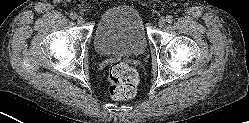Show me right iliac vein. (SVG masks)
<instances>
[{
  "label": "right iliac vein",
  "mask_w": 249,
  "mask_h": 123,
  "mask_svg": "<svg viewBox=\"0 0 249 123\" xmlns=\"http://www.w3.org/2000/svg\"><path fill=\"white\" fill-rule=\"evenodd\" d=\"M76 22L79 24V25H82L84 23V18L79 16L76 20Z\"/></svg>",
  "instance_id": "63e3f726"
}]
</instances>
